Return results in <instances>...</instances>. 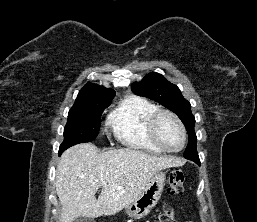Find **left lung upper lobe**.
Instances as JSON below:
<instances>
[{
    "label": "left lung upper lobe",
    "mask_w": 257,
    "mask_h": 222,
    "mask_svg": "<svg viewBox=\"0 0 257 222\" xmlns=\"http://www.w3.org/2000/svg\"><path fill=\"white\" fill-rule=\"evenodd\" d=\"M131 89L136 95L153 99L178 115L189 136L184 157L194 162L199 160L196 149L197 138L194 131L195 118L191 113L189 101L184 99L179 88L166 80L163 75L151 72L140 82L133 83Z\"/></svg>",
    "instance_id": "5c2ea615"
}]
</instances>
